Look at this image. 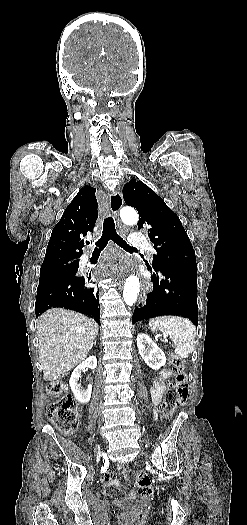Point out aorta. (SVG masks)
Returning <instances> with one entry per match:
<instances>
[{"label": "aorta", "instance_id": "obj_1", "mask_svg": "<svg viewBox=\"0 0 247 525\" xmlns=\"http://www.w3.org/2000/svg\"><path fill=\"white\" fill-rule=\"evenodd\" d=\"M122 221L127 225H135L139 216L133 208L124 207L120 211ZM140 290L139 279L135 275H130L124 284L123 298L127 305L132 306L138 297Z\"/></svg>", "mask_w": 247, "mask_h": 525}]
</instances>
